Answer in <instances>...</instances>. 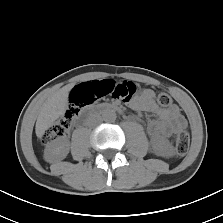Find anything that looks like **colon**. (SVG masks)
I'll list each match as a JSON object with an SVG mask.
<instances>
[{
    "label": "colon",
    "mask_w": 223,
    "mask_h": 223,
    "mask_svg": "<svg viewBox=\"0 0 223 223\" xmlns=\"http://www.w3.org/2000/svg\"><path fill=\"white\" fill-rule=\"evenodd\" d=\"M136 91V85L130 81L116 84L111 80H102L84 82L74 86L69 93L68 107L64 115L45 133L44 141L50 142L65 137L82 107L104 96H111L113 99L127 102L131 100ZM157 102L162 107H168L171 105L172 99L168 94L161 93L157 97ZM189 147V134L186 131H180L176 137V154L178 156L185 155Z\"/></svg>",
    "instance_id": "obj_1"
}]
</instances>
